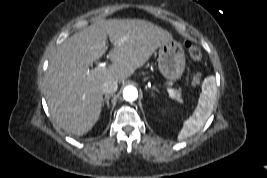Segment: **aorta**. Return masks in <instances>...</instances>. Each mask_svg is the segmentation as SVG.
<instances>
[{
  "label": "aorta",
  "mask_w": 267,
  "mask_h": 178,
  "mask_svg": "<svg viewBox=\"0 0 267 178\" xmlns=\"http://www.w3.org/2000/svg\"><path fill=\"white\" fill-rule=\"evenodd\" d=\"M123 98L126 101L132 102L138 98V91L134 86H127L123 90Z\"/></svg>",
  "instance_id": "obj_1"
}]
</instances>
